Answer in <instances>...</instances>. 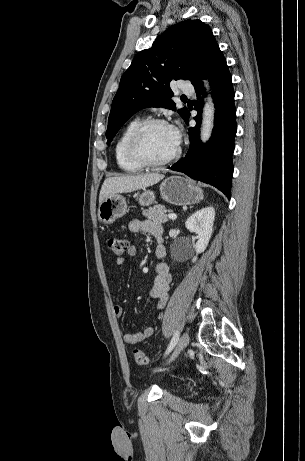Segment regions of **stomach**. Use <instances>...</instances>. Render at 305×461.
<instances>
[{
    "label": "stomach",
    "mask_w": 305,
    "mask_h": 461,
    "mask_svg": "<svg viewBox=\"0 0 305 461\" xmlns=\"http://www.w3.org/2000/svg\"><path fill=\"white\" fill-rule=\"evenodd\" d=\"M160 194L163 200L173 205H192L203 198V191L191 180L181 176H170L160 184ZM140 205L148 206L155 203L153 191L143 189L137 193ZM127 212L125 197L119 193L110 195L99 204L98 219L103 224H111Z\"/></svg>",
    "instance_id": "0dacf381"
}]
</instances>
